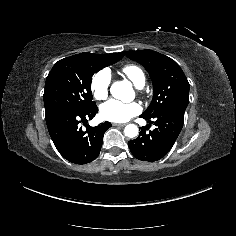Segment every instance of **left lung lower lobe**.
I'll return each mask as SVG.
<instances>
[{"label": "left lung lower lobe", "instance_id": "0a47b994", "mask_svg": "<svg viewBox=\"0 0 236 236\" xmlns=\"http://www.w3.org/2000/svg\"><path fill=\"white\" fill-rule=\"evenodd\" d=\"M185 110V106L176 105L154 116H140L146 119L148 123H153L156 128L147 132L142 127L138 138L128 142L133 156L148 162H154L164 157L181 132Z\"/></svg>", "mask_w": 236, "mask_h": 236}]
</instances>
